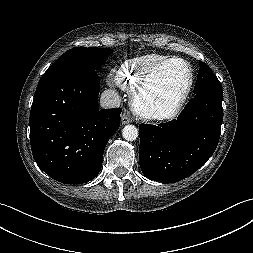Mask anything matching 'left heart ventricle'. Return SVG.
<instances>
[{
  "instance_id": "1",
  "label": "left heart ventricle",
  "mask_w": 253,
  "mask_h": 253,
  "mask_svg": "<svg viewBox=\"0 0 253 253\" xmlns=\"http://www.w3.org/2000/svg\"><path fill=\"white\" fill-rule=\"evenodd\" d=\"M189 70L181 62L174 61L162 67L151 79L144 94V102L158 111H168L185 90Z\"/></svg>"
}]
</instances>
